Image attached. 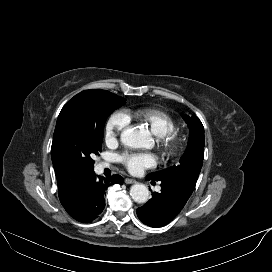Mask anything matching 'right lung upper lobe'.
<instances>
[{
	"label": "right lung upper lobe",
	"mask_w": 272,
	"mask_h": 272,
	"mask_svg": "<svg viewBox=\"0 0 272 272\" xmlns=\"http://www.w3.org/2000/svg\"><path fill=\"white\" fill-rule=\"evenodd\" d=\"M52 162L58 183V195L63 206H67L75 197L78 189L90 174L75 175L66 160L51 151Z\"/></svg>",
	"instance_id": "obj_1"
}]
</instances>
